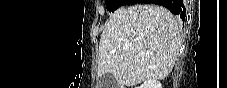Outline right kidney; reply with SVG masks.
I'll return each instance as SVG.
<instances>
[{
    "mask_svg": "<svg viewBox=\"0 0 227 88\" xmlns=\"http://www.w3.org/2000/svg\"><path fill=\"white\" fill-rule=\"evenodd\" d=\"M138 88H162L159 80L149 79L144 81Z\"/></svg>",
    "mask_w": 227,
    "mask_h": 88,
    "instance_id": "obj_1",
    "label": "right kidney"
}]
</instances>
